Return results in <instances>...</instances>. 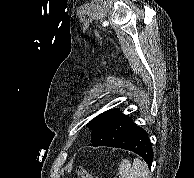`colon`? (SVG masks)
<instances>
[{
	"instance_id": "5ec220e1",
	"label": "colon",
	"mask_w": 194,
	"mask_h": 178,
	"mask_svg": "<svg viewBox=\"0 0 194 178\" xmlns=\"http://www.w3.org/2000/svg\"><path fill=\"white\" fill-rule=\"evenodd\" d=\"M76 175L78 178H97L84 168H78L76 171Z\"/></svg>"
}]
</instances>
